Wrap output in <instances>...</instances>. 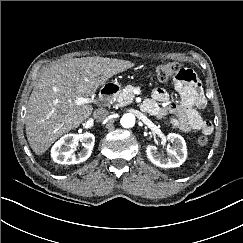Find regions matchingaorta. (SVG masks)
Listing matches in <instances>:
<instances>
[{
	"mask_svg": "<svg viewBox=\"0 0 243 243\" xmlns=\"http://www.w3.org/2000/svg\"><path fill=\"white\" fill-rule=\"evenodd\" d=\"M136 118L135 115L132 113H125L121 120L120 123L124 128H131L135 125Z\"/></svg>",
	"mask_w": 243,
	"mask_h": 243,
	"instance_id": "1",
	"label": "aorta"
}]
</instances>
